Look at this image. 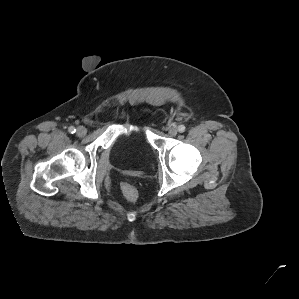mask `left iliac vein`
<instances>
[{"mask_svg": "<svg viewBox=\"0 0 299 299\" xmlns=\"http://www.w3.org/2000/svg\"><path fill=\"white\" fill-rule=\"evenodd\" d=\"M168 133H169L170 136L174 137V136L177 135L178 130L175 127H170L169 130H168Z\"/></svg>", "mask_w": 299, "mask_h": 299, "instance_id": "1", "label": "left iliac vein"}]
</instances>
